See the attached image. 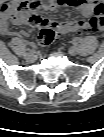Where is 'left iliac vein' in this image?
I'll list each match as a JSON object with an SVG mask.
<instances>
[{
    "instance_id": "1",
    "label": "left iliac vein",
    "mask_w": 104,
    "mask_h": 137,
    "mask_svg": "<svg viewBox=\"0 0 104 137\" xmlns=\"http://www.w3.org/2000/svg\"><path fill=\"white\" fill-rule=\"evenodd\" d=\"M69 52H70L71 55H77L78 54V49L75 48V47H71L69 49Z\"/></svg>"
}]
</instances>
